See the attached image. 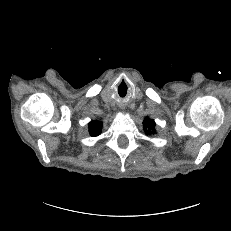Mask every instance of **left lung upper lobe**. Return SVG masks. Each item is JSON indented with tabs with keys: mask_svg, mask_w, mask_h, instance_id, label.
Returning a JSON list of instances; mask_svg holds the SVG:
<instances>
[{
	"mask_svg": "<svg viewBox=\"0 0 231 231\" xmlns=\"http://www.w3.org/2000/svg\"><path fill=\"white\" fill-rule=\"evenodd\" d=\"M143 125H144V130L146 131V133L148 135H152L154 134L156 131H155V122L154 120L150 119V118H146L143 122Z\"/></svg>",
	"mask_w": 231,
	"mask_h": 231,
	"instance_id": "obj_1",
	"label": "left lung upper lobe"
}]
</instances>
